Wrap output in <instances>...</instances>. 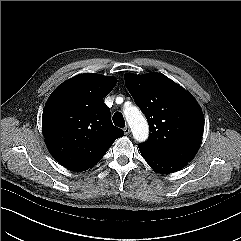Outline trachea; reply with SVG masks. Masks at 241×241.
<instances>
[{
    "mask_svg": "<svg viewBox=\"0 0 241 241\" xmlns=\"http://www.w3.org/2000/svg\"><path fill=\"white\" fill-rule=\"evenodd\" d=\"M113 122L116 126L120 128L125 127V121H124L123 115L120 112H116L113 115Z\"/></svg>",
    "mask_w": 241,
    "mask_h": 241,
    "instance_id": "obj_1",
    "label": "trachea"
}]
</instances>
